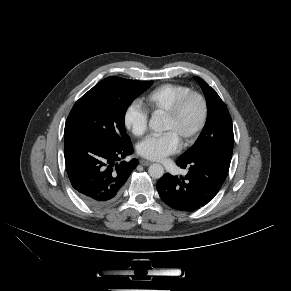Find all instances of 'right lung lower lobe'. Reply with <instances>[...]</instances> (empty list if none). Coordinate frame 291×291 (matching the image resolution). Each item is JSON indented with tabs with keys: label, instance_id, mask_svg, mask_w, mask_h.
I'll return each mask as SVG.
<instances>
[{
	"label": "right lung lower lobe",
	"instance_id": "right-lung-lower-lobe-1",
	"mask_svg": "<svg viewBox=\"0 0 291 291\" xmlns=\"http://www.w3.org/2000/svg\"><path fill=\"white\" fill-rule=\"evenodd\" d=\"M133 148L130 141L75 138L65 142V164L77 195L88 205L112 202L122 191L137 159L122 161Z\"/></svg>",
	"mask_w": 291,
	"mask_h": 291
}]
</instances>
